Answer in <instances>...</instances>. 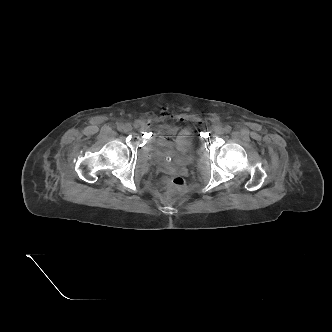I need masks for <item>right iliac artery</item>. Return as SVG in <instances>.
<instances>
[{
  "label": "right iliac artery",
  "mask_w": 332,
  "mask_h": 332,
  "mask_svg": "<svg viewBox=\"0 0 332 332\" xmlns=\"http://www.w3.org/2000/svg\"><path fill=\"white\" fill-rule=\"evenodd\" d=\"M117 128H118V130H122V129H123V124H122V123H119V124L117 125Z\"/></svg>",
  "instance_id": "82829eb1"
}]
</instances>
